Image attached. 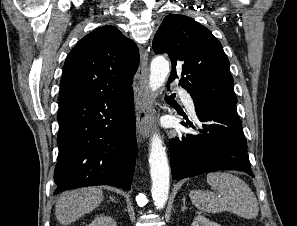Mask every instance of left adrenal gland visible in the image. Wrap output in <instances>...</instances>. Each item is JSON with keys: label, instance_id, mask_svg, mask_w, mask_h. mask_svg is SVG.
<instances>
[{"label": "left adrenal gland", "instance_id": "1", "mask_svg": "<svg viewBox=\"0 0 297 226\" xmlns=\"http://www.w3.org/2000/svg\"><path fill=\"white\" fill-rule=\"evenodd\" d=\"M185 202H186V198L184 197V198H183V205H182V208H181L182 211H184L185 209L188 208V207H186Z\"/></svg>", "mask_w": 297, "mask_h": 226}]
</instances>
